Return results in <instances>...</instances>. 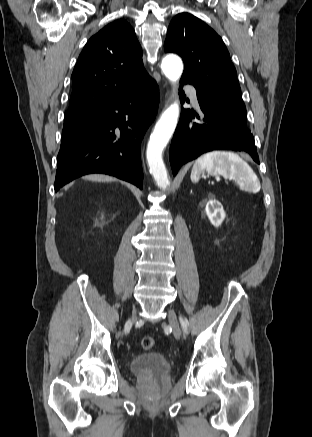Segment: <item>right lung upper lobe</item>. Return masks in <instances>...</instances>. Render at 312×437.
<instances>
[{
	"label": "right lung upper lobe",
	"instance_id": "obj_1",
	"mask_svg": "<svg viewBox=\"0 0 312 437\" xmlns=\"http://www.w3.org/2000/svg\"><path fill=\"white\" fill-rule=\"evenodd\" d=\"M135 31L119 19L92 36L72 73L67 112H89L134 87L145 75Z\"/></svg>",
	"mask_w": 312,
	"mask_h": 437
}]
</instances>
